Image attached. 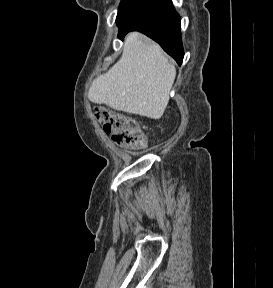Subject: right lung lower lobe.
Listing matches in <instances>:
<instances>
[{
    "label": "right lung lower lobe",
    "instance_id": "98d812e1",
    "mask_svg": "<svg viewBox=\"0 0 273 288\" xmlns=\"http://www.w3.org/2000/svg\"><path fill=\"white\" fill-rule=\"evenodd\" d=\"M118 27L119 39L130 31H140L158 42L179 65L182 64L180 16L171 0H138Z\"/></svg>",
    "mask_w": 273,
    "mask_h": 288
}]
</instances>
